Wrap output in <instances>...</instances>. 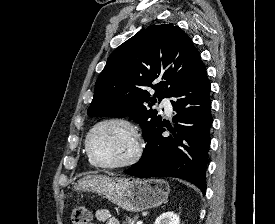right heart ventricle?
<instances>
[{
    "label": "right heart ventricle",
    "mask_w": 275,
    "mask_h": 224,
    "mask_svg": "<svg viewBox=\"0 0 275 224\" xmlns=\"http://www.w3.org/2000/svg\"><path fill=\"white\" fill-rule=\"evenodd\" d=\"M88 162L91 166H95V164L91 161V159L88 157Z\"/></svg>",
    "instance_id": "e07e8e85"
}]
</instances>
